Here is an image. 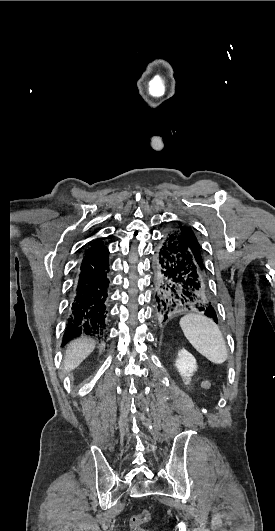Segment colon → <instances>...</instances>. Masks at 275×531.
<instances>
[{
  "instance_id": "colon-1",
  "label": "colon",
  "mask_w": 275,
  "mask_h": 531,
  "mask_svg": "<svg viewBox=\"0 0 275 531\" xmlns=\"http://www.w3.org/2000/svg\"><path fill=\"white\" fill-rule=\"evenodd\" d=\"M150 518L151 514L148 509L140 510L131 518L130 531H144L143 525L147 523Z\"/></svg>"
}]
</instances>
